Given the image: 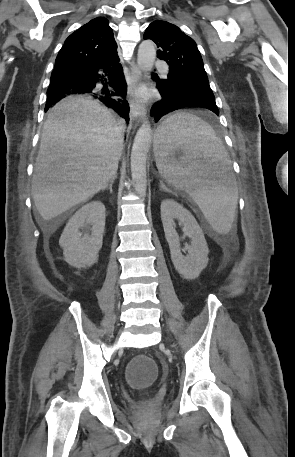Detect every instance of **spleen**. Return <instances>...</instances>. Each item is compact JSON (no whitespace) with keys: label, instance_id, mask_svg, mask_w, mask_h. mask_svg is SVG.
Returning <instances> with one entry per match:
<instances>
[{"label":"spleen","instance_id":"obj_1","mask_svg":"<svg viewBox=\"0 0 295 457\" xmlns=\"http://www.w3.org/2000/svg\"><path fill=\"white\" fill-rule=\"evenodd\" d=\"M184 151L176 159L173 152ZM154 155L161 176L185 191L218 234L232 227L238 187L221 140L205 121L186 111L167 118L158 128Z\"/></svg>","mask_w":295,"mask_h":457}]
</instances>
